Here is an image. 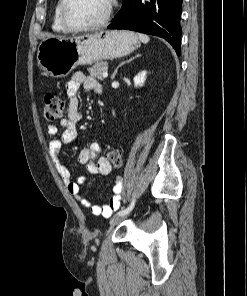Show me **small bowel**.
Segmentation results:
<instances>
[{"label":"small bowel","instance_id":"c3829d8e","mask_svg":"<svg viewBox=\"0 0 247 296\" xmlns=\"http://www.w3.org/2000/svg\"><path fill=\"white\" fill-rule=\"evenodd\" d=\"M81 86L89 92H99L101 89L100 84L92 77L85 76L81 72H76L72 75L71 79L66 84V91L69 98L67 117L62 119L59 123V127L63 130L62 135L60 139H53L50 141L48 153L68 192L75 197L77 202L81 206L89 208L93 215L107 218L110 217L120 206L122 193L121 180H116L112 196L108 204L102 206L95 205L80 192L81 185L87 182L88 178L81 176L73 180L69 170L61 161L62 144L71 143L75 140L78 134L77 126L82 118L79 111L78 99V92ZM59 127L54 124L49 125L47 128L48 134L50 136H56ZM78 161L87 166V170L91 176L108 175L112 171V165L109 163L107 158L101 154L100 146L98 144H91L83 147L80 150Z\"/></svg>","mask_w":247,"mask_h":296}]
</instances>
